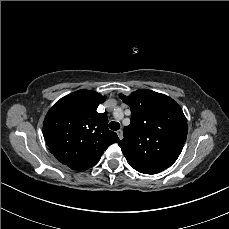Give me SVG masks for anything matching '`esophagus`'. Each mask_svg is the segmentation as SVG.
Wrapping results in <instances>:
<instances>
[{
    "instance_id": "1",
    "label": "esophagus",
    "mask_w": 229,
    "mask_h": 229,
    "mask_svg": "<svg viewBox=\"0 0 229 229\" xmlns=\"http://www.w3.org/2000/svg\"><path fill=\"white\" fill-rule=\"evenodd\" d=\"M116 133H117L119 139L122 140L123 139V131L121 129H119Z\"/></svg>"
}]
</instances>
